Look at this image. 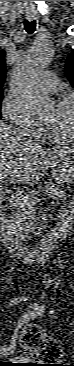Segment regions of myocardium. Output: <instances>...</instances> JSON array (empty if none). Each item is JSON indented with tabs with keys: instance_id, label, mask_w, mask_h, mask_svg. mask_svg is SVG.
Returning a JSON list of instances; mask_svg holds the SVG:
<instances>
[{
	"instance_id": "f54148a6",
	"label": "myocardium",
	"mask_w": 74,
	"mask_h": 366,
	"mask_svg": "<svg viewBox=\"0 0 74 366\" xmlns=\"http://www.w3.org/2000/svg\"><path fill=\"white\" fill-rule=\"evenodd\" d=\"M57 107H69L71 111L72 126L74 130V99L70 96H64L56 103ZM46 135L51 139L52 142L63 144V145H73L74 146V134L72 137L62 138L57 133L52 132L50 129H45Z\"/></svg>"
}]
</instances>
